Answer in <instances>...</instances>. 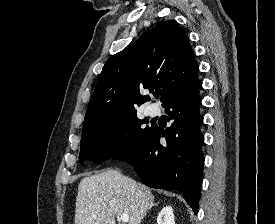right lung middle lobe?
I'll return each mask as SVG.
<instances>
[{
    "mask_svg": "<svg viewBox=\"0 0 275 224\" xmlns=\"http://www.w3.org/2000/svg\"><path fill=\"white\" fill-rule=\"evenodd\" d=\"M144 123L146 121L139 120L136 111H132L83 128L79 160L100 163L125 152L151 129L144 127Z\"/></svg>",
    "mask_w": 275,
    "mask_h": 224,
    "instance_id": "1",
    "label": "right lung middle lobe"
}]
</instances>
